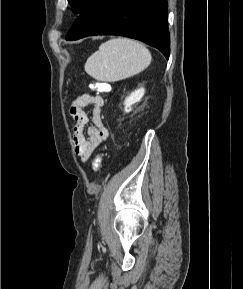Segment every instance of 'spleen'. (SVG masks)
I'll list each match as a JSON object with an SVG mask.
<instances>
[{
	"instance_id": "spleen-1",
	"label": "spleen",
	"mask_w": 243,
	"mask_h": 289,
	"mask_svg": "<svg viewBox=\"0 0 243 289\" xmlns=\"http://www.w3.org/2000/svg\"><path fill=\"white\" fill-rule=\"evenodd\" d=\"M151 53L141 43L113 38L99 47L86 61L85 71L94 79L116 82L134 76L151 63Z\"/></svg>"
}]
</instances>
